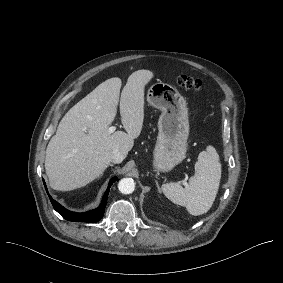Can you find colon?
Wrapping results in <instances>:
<instances>
[{
  "label": "colon",
  "mask_w": 283,
  "mask_h": 283,
  "mask_svg": "<svg viewBox=\"0 0 283 283\" xmlns=\"http://www.w3.org/2000/svg\"><path fill=\"white\" fill-rule=\"evenodd\" d=\"M177 84L184 89L194 91H199L203 88V83L201 80L188 75H180L177 78Z\"/></svg>",
  "instance_id": "5ec220e1"
}]
</instances>
